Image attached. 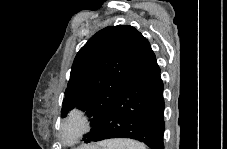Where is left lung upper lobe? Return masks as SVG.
I'll return each mask as SVG.
<instances>
[{
  "mask_svg": "<svg viewBox=\"0 0 227 149\" xmlns=\"http://www.w3.org/2000/svg\"><path fill=\"white\" fill-rule=\"evenodd\" d=\"M144 41L128 25L109 26L93 35L74 59L63 99L64 116L73 108L87 111L92 132L126 83Z\"/></svg>",
  "mask_w": 227,
  "mask_h": 149,
  "instance_id": "left-lung-upper-lobe-1",
  "label": "left lung upper lobe"
}]
</instances>
